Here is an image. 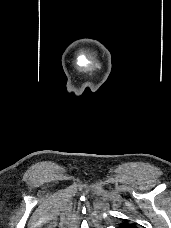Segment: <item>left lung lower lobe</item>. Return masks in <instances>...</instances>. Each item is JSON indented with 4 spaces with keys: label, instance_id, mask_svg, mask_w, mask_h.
I'll return each instance as SVG.
<instances>
[{
    "label": "left lung lower lobe",
    "instance_id": "left-lung-lower-lobe-1",
    "mask_svg": "<svg viewBox=\"0 0 171 228\" xmlns=\"http://www.w3.org/2000/svg\"><path fill=\"white\" fill-rule=\"evenodd\" d=\"M118 228H136V225L129 220H124V222L121 223Z\"/></svg>",
    "mask_w": 171,
    "mask_h": 228
}]
</instances>
